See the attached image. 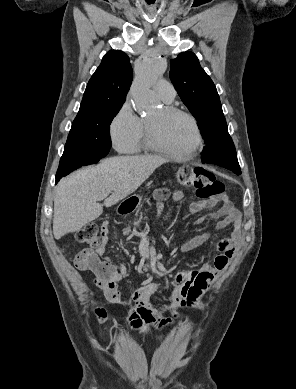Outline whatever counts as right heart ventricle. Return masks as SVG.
Instances as JSON below:
<instances>
[{
	"mask_svg": "<svg viewBox=\"0 0 296 389\" xmlns=\"http://www.w3.org/2000/svg\"><path fill=\"white\" fill-rule=\"evenodd\" d=\"M147 143H144L142 146H140V148L139 149H144V148H147Z\"/></svg>",
	"mask_w": 296,
	"mask_h": 389,
	"instance_id": "right-heart-ventricle-1",
	"label": "right heart ventricle"
}]
</instances>
